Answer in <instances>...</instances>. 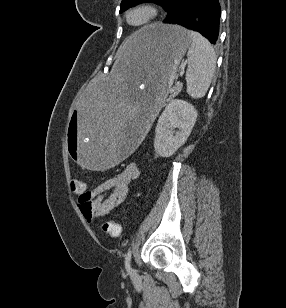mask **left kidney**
<instances>
[{
    "label": "left kidney",
    "mask_w": 286,
    "mask_h": 308,
    "mask_svg": "<svg viewBox=\"0 0 286 308\" xmlns=\"http://www.w3.org/2000/svg\"><path fill=\"white\" fill-rule=\"evenodd\" d=\"M197 111L190 103L173 99L162 112L155 130L154 148L161 157L172 156L189 137ZM177 128L178 131H174Z\"/></svg>",
    "instance_id": "obj_1"
}]
</instances>
